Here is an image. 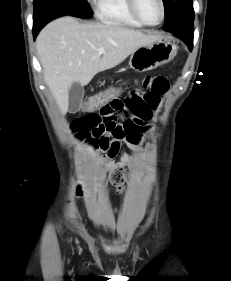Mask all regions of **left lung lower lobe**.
Returning a JSON list of instances; mask_svg holds the SVG:
<instances>
[{
	"label": "left lung lower lobe",
	"instance_id": "1",
	"mask_svg": "<svg viewBox=\"0 0 231 281\" xmlns=\"http://www.w3.org/2000/svg\"><path fill=\"white\" fill-rule=\"evenodd\" d=\"M170 32L175 33L182 37V39L187 43L189 49L193 48V20H186L172 27Z\"/></svg>",
	"mask_w": 231,
	"mask_h": 281
}]
</instances>
